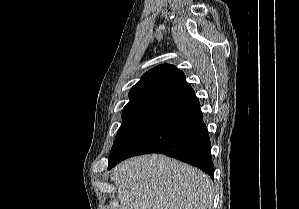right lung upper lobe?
I'll return each instance as SVG.
<instances>
[{
  "label": "right lung upper lobe",
  "instance_id": "cb5924a9",
  "mask_svg": "<svg viewBox=\"0 0 299 209\" xmlns=\"http://www.w3.org/2000/svg\"><path fill=\"white\" fill-rule=\"evenodd\" d=\"M185 85L187 82L182 71L170 64L158 65L147 71L141 80L131 88L128 94L130 101L127 105L161 104Z\"/></svg>",
  "mask_w": 299,
  "mask_h": 209
}]
</instances>
